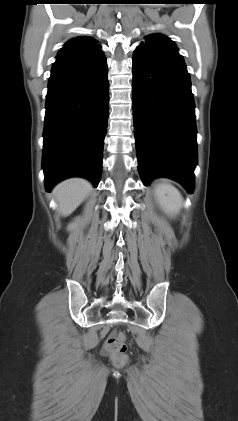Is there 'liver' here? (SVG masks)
<instances>
[{
	"label": "liver",
	"mask_w": 238,
	"mask_h": 421,
	"mask_svg": "<svg viewBox=\"0 0 238 421\" xmlns=\"http://www.w3.org/2000/svg\"><path fill=\"white\" fill-rule=\"evenodd\" d=\"M90 182L82 178H72L59 183L53 190L62 216L70 215L91 191Z\"/></svg>",
	"instance_id": "liver-1"
}]
</instances>
